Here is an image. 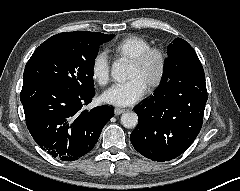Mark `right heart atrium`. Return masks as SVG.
<instances>
[{"mask_svg":"<svg viewBox=\"0 0 240 191\" xmlns=\"http://www.w3.org/2000/svg\"><path fill=\"white\" fill-rule=\"evenodd\" d=\"M92 78L100 85H106L110 78V62L105 53H98L91 64Z\"/></svg>","mask_w":240,"mask_h":191,"instance_id":"right-heart-atrium-1","label":"right heart atrium"}]
</instances>
